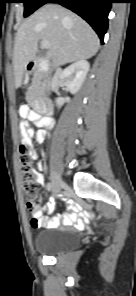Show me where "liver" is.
<instances>
[{
  "label": "liver",
  "instance_id": "liver-1",
  "mask_svg": "<svg viewBox=\"0 0 136 296\" xmlns=\"http://www.w3.org/2000/svg\"><path fill=\"white\" fill-rule=\"evenodd\" d=\"M39 40L50 43L47 55L57 66L89 59L100 47L97 34L81 17L61 5L46 4L17 31L13 54L16 88L22 83L28 63L38 52Z\"/></svg>",
  "mask_w": 136,
  "mask_h": 296
}]
</instances>
